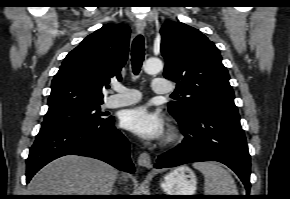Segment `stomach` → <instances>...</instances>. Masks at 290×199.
Instances as JSON below:
<instances>
[{"instance_id":"1","label":"stomach","mask_w":290,"mask_h":199,"mask_svg":"<svg viewBox=\"0 0 290 199\" xmlns=\"http://www.w3.org/2000/svg\"><path fill=\"white\" fill-rule=\"evenodd\" d=\"M197 178L187 166H181L169 173L162 183L167 195H194Z\"/></svg>"}]
</instances>
